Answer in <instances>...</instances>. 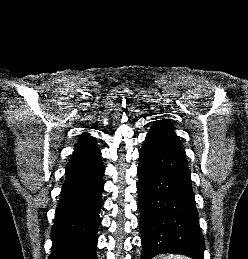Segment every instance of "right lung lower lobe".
<instances>
[{
  "label": "right lung lower lobe",
  "mask_w": 248,
  "mask_h": 259,
  "mask_svg": "<svg viewBox=\"0 0 248 259\" xmlns=\"http://www.w3.org/2000/svg\"><path fill=\"white\" fill-rule=\"evenodd\" d=\"M101 153L70 161L51 229L49 259H97V227L103 205Z\"/></svg>",
  "instance_id": "right-lung-lower-lobe-1"
}]
</instances>
